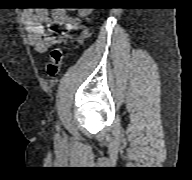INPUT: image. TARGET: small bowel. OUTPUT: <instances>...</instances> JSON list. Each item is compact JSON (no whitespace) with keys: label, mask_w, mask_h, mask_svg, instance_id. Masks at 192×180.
I'll return each mask as SVG.
<instances>
[{"label":"small bowel","mask_w":192,"mask_h":180,"mask_svg":"<svg viewBox=\"0 0 192 180\" xmlns=\"http://www.w3.org/2000/svg\"><path fill=\"white\" fill-rule=\"evenodd\" d=\"M90 14L88 9H81L78 16L72 17L66 14L63 9H56L49 13L46 9H28L23 11L21 20L27 31V38L30 46L40 54L45 53L50 46L56 43L53 35V26H63L66 31L73 32L82 28V18ZM45 25L49 28L46 29ZM90 37V31L81 29L80 40Z\"/></svg>","instance_id":"1"}]
</instances>
